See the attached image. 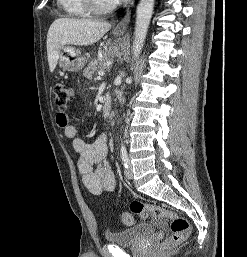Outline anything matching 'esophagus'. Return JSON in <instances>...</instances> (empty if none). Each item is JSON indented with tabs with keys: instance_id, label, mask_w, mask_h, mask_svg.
I'll return each instance as SVG.
<instances>
[{
	"instance_id": "obj_1",
	"label": "esophagus",
	"mask_w": 247,
	"mask_h": 257,
	"mask_svg": "<svg viewBox=\"0 0 247 257\" xmlns=\"http://www.w3.org/2000/svg\"><path fill=\"white\" fill-rule=\"evenodd\" d=\"M133 5V1H131L130 5L128 6L123 18L117 23L114 30L116 32H125L128 29L130 17H131V6Z\"/></svg>"
}]
</instances>
